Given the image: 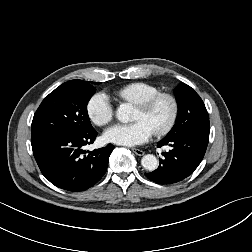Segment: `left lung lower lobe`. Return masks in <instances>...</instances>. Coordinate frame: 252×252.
<instances>
[{
  "instance_id": "0a47b994",
  "label": "left lung lower lobe",
  "mask_w": 252,
  "mask_h": 252,
  "mask_svg": "<svg viewBox=\"0 0 252 252\" xmlns=\"http://www.w3.org/2000/svg\"><path fill=\"white\" fill-rule=\"evenodd\" d=\"M209 141V131L191 130L171 138H163L158 147L169 145L171 150L160 159L159 167L147 178L161 184H173L191 175L201 163Z\"/></svg>"
}]
</instances>
